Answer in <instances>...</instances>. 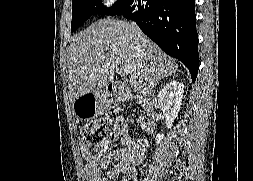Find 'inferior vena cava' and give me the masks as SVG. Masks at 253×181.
<instances>
[{
    "label": "inferior vena cava",
    "mask_w": 253,
    "mask_h": 181,
    "mask_svg": "<svg viewBox=\"0 0 253 181\" xmlns=\"http://www.w3.org/2000/svg\"><path fill=\"white\" fill-rule=\"evenodd\" d=\"M135 27H136V29L138 30V32H140V30H139V28L137 27V25L133 22L132 23Z\"/></svg>",
    "instance_id": "602c4592"
}]
</instances>
